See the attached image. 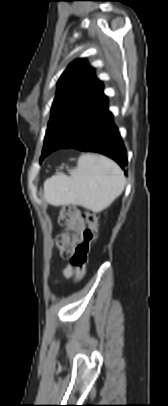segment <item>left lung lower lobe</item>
Masks as SVG:
<instances>
[{"instance_id":"1","label":"left lung lower lobe","mask_w":168,"mask_h":406,"mask_svg":"<svg viewBox=\"0 0 168 406\" xmlns=\"http://www.w3.org/2000/svg\"><path fill=\"white\" fill-rule=\"evenodd\" d=\"M59 148L98 152L115 160L122 169L127 164L126 150L118 129L113 124V116L107 109L105 96L91 112L81 130Z\"/></svg>"}]
</instances>
